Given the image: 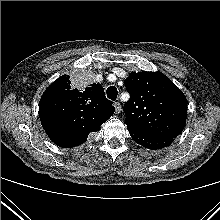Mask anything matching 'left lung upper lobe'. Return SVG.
Segmentation results:
<instances>
[{
    "label": "left lung upper lobe",
    "instance_id": "obj_1",
    "mask_svg": "<svg viewBox=\"0 0 220 220\" xmlns=\"http://www.w3.org/2000/svg\"><path fill=\"white\" fill-rule=\"evenodd\" d=\"M130 99L124 105L125 123L131 132L176 138L187 117L182 91L161 72L130 73L125 79Z\"/></svg>",
    "mask_w": 220,
    "mask_h": 220
}]
</instances>
